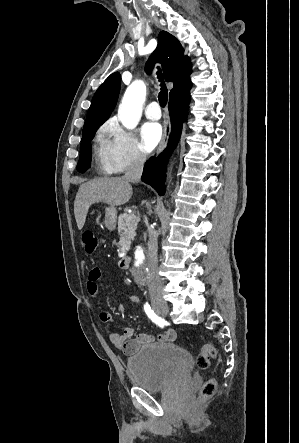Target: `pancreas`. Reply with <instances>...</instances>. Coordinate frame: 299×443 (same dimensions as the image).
<instances>
[{"label":"pancreas","mask_w":299,"mask_h":443,"mask_svg":"<svg viewBox=\"0 0 299 443\" xmlns=\"http://www.w3.org/2000/svg\"><path fill=\"white\" fill-rule=\"evenodd\" d=\"M129 214H121L118 218V232L120 235V252L126 253L130 249L131 240L134 239L139 218L129 220Z\"/></svg>","instance_id":"pancreas-1"}]
</instances>
